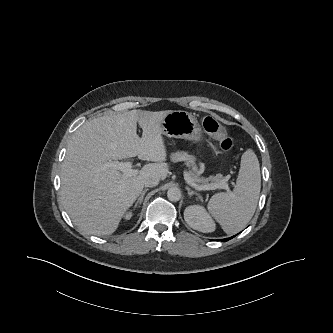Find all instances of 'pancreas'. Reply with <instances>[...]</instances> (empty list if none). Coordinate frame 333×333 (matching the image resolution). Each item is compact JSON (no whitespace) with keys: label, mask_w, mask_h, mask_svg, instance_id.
I'll return each instance as SVG.
<instances>
[{"label":"pancreas","mask_w":333,"mask_h":333,"mask_svg":"<svg viewBox=\"0 0 333 333\" xmlns=\"http://www.w3.org/2000/svg\"><path fill=\"white\" fill-rule=\"evenodd\" d=\"M171 160L173 162H180L185 161L186 165L191 168L189 175L191 176L192 180L199 185H207V184H220L222 182H227V178L223 177L221 174H218L216 176H210L208 178L200 177L198 174L197 166L195 165V157L192 155H189L187 152L184 151H178L175 153H172L170 156Z\"/></svg>","instance_id":"cf45deb5"}]
</instances>
